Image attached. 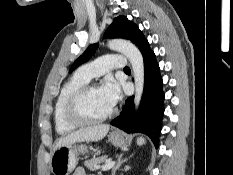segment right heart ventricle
Returning <instances> with one entry per match:
<instances>
[{
  "instance_id": "e07e8e85",
  "label": "right heart ventricle",
  "mask_w": 233,
  "mask_h": 175,
  "mask_svg": "<svg viewBox=\"0 0 233 175\" xmlns=\"http://www.w3.org/2000/svg\"><path fill=\"white\" fill-rule=\"evenodd\" d=\"M87 83V80L74 75L61 88L54 108V123L56 131L59 134L71 133L79 126L67 119L65 115V105L71 94Z\"/></svg>"
}]
</instances>
